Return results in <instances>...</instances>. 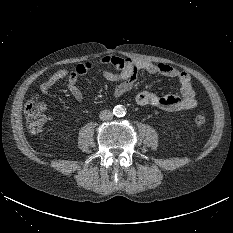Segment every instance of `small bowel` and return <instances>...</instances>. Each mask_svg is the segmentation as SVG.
Wrapping results in <instances>:
<instances>
[{
  "instance_id": "1",
  "label": "small bowel",
  "mask_w": 233,
  "mask_h": 233,
  "mask_svg": "<svg viewBox=\"0 0 233 233\" xmlns=\"http://www.w3.org/2000/svg\"><path fill=\"white\" fill-rule=\"evenodd\" d=\"M102 66H110L113 70L105 69L102 76L109 82L116 83L112 91L114 99L122 97L129 92L137 79V73L144 71L175 79L179 85L178 94L158 96L148 91H142L135 97V101L142 107H153L162 111H187L196 106L195 91L192 87L191 77L185 72L165 63H153L147 60L106 55L98 60ZM93 62L79 63L73 70L61 69L52 74L40 85L41 94L45 95L60 80H67V88L71 96L79 103L84 102V96L77 82L80 76L85 75L94 68Z\"/></svg>"
}]
</instances>
